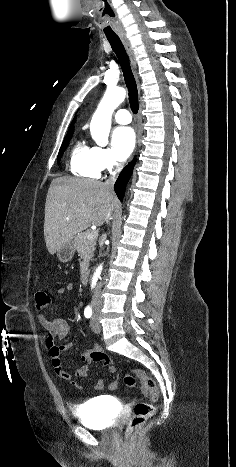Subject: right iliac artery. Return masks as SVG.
I'll use <instances>...</instances> for the list:
<instances>
[{
	"mask_svg": "<svg viewBox=\"0 0 236 467\" xmlns=\"http://www.w3.org/2000/svg\"><path fill=\"white\" fill-rule=\"evenodd\" d=\"M84 315L86 318H90L92 316V308L90 306L85 308Z\"/></svg>",
	"mask_w": 236,
	"mask_h": 467,
	"instance_id": "82829eb1",
	"label": "right iliac artery"
}]
</instances>
